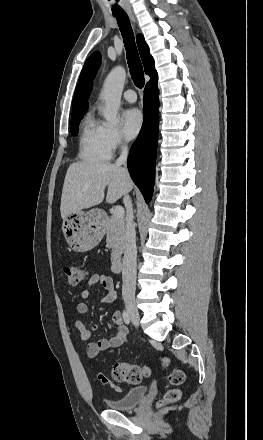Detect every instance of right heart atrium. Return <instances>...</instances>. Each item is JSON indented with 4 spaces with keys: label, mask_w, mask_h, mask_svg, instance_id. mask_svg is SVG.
<instances>
[{
    "label": "right heart atrium",
    "mask_w": 263,
    "mask_h": 440,
    "mask_svg": "<svg viewBox=\"0 0 263 440\" xmlns=\"http://www.w3.org/2000/svg\"><path fill=\"white\" fill-rule=\"evenodd\" d=\"M105 137L108 147L111 152L121 148L127 144V140L120 131V129L116 126H106Z\"/></svg>",
    "instance_id": "1"
}]
</instances>
